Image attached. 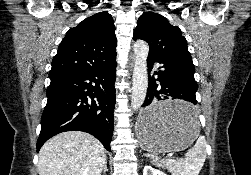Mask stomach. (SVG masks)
Here are the masks:
<instances>
[{
  "mask_svg": "<svg viewBox=\"0 0 251 175\" xmlns=\"http://www.w3.org/2000/svg\"><path fill=\"white\" fill-rule=\"evenodd\" d=\"M188 105L190 100H158L156 107L143 109L135 125L140 145L158 154H170L191 145L199 135V118L196 106Z\"/></svg>",
  "mask_w": 251,
  "mask_h": 175,
  "instance_id": "1",
  "label": "stomach"
}]
</instances>
